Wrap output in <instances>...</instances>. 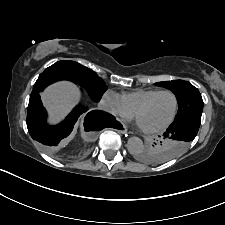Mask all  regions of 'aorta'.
Wrapping results in <instances>:
<instances>
[{"label":"aorta","mask_w":225,"mask_h":225,"mask_svg":"<svg viewBox=\"0 0 225 225\" xmlns=\"http://www.w3.org/2000/svg\"><path fill=\"white\" fill-rule=\"evenodd\" d=\"M127 148L131 154H138L143 150L144 145L140 138L131 137L127 142Z\"/></svg>","instance_id":"aorta-1"}]
</instances>
